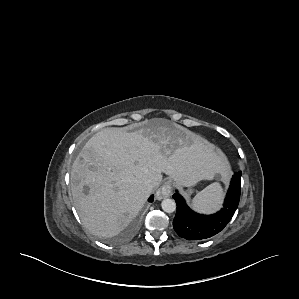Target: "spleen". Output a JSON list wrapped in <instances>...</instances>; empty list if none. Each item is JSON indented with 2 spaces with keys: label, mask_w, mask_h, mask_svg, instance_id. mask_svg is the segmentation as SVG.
<instances>
[{
  "label": "spleen",
  "mask_w": 299,
  "mask_h": 299,
  "mask_svg": "<svg viewBox=\"0 0 299 299\" xmlns=\"http://www.w3.org/2000/svg\"><path fill=\"white\" fill-rule=\"evenodd\" d=\"M223 189L215 182L200 191L192 200V207L199 212L211 213L220 207Z\"/></svg>",
  "instance_id": "3e777b00"
}]
</instances>
